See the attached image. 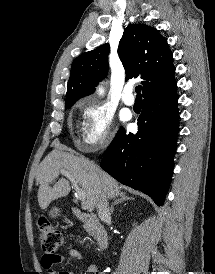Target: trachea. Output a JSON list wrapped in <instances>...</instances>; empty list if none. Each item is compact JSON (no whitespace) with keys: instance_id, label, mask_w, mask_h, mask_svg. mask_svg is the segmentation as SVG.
I'll list each match as a JSON object with an SVG mask.
<instances>
[{"instance_id":"1","label":"trachea","mask_w":215,"mask_h":274,"mask_svg":"<svg viewBox=\"0 0 215 274\" xmlns=\"http://www.w3.org/2000/svg\"><path fill=\"white\" fill-rule=\"evenodd\" d=\"M141 88H142V87H141L140 85L136 86V88H135V91H136V93H137V97H141V94H140Z\"/></svg>"}]
</instances>
